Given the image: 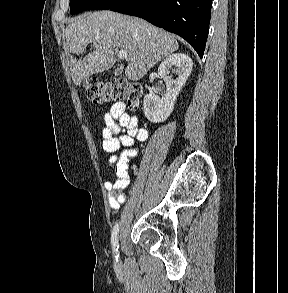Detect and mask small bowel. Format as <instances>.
Listing matches in <instances>:
<instances>
[{
  "instance_id": "1",
  "label": "small bowel",
  "mask_w": 288,
  "mask_h": 293,
  "mask_svg": "<svg viewBox=\"0 0 288 293\" xmlns=\"http://www.w3.org/2000/svg\"><path fill=\"white\" fill-rule=\"evenodd\" d=\"M105 127L102 130V148L110 154L109 165L114 169L116 180L106 181L108 202L113 210H118L126 201L123 190L129 183L128 163L137 155L136 142L148 138V131L139 126L138 116L130 115L123 102L114 103L104 116ZM123 146L121 154L117 150Z\"/></svg>"
}]
</instances>
